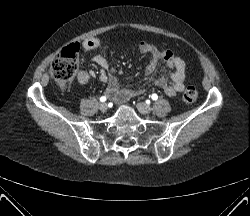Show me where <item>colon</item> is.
Listing matches in <instances>:
<instances>
[{
	"label": "colon",
	"mask_w": 250,
	"mask_h": 216,
	"mask_svg": "<svg viewBox=\"0 0 250 216\" xmlns=\"http://www.w3.org/2000/svg\"><path fill=\"white\" fill-rule=\"evenodd\" d=\"M79 45L73 44L64 48L51 65L52 76L61 82L72 79L77 70ZM198 92L194 86H188L183 93V101L193 103L197 100Z\"/></svg>",
	"instance_id": "5ec220e1"
}]
</instances>
